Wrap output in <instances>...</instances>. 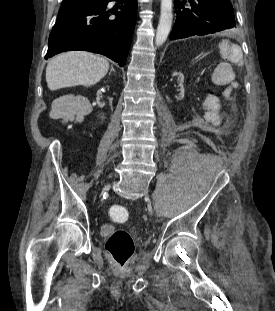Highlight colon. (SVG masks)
I'll use <instances>...</instances> for the list:
<instances>
[{
  "label": "colon",
  "instance_id": "obj_1",
  "mask_svg": "<svg viewBox=\"0 0 275 311\" xmlns=\"http://www.w3.org/2000/svg\"><path fill=\"white\" fill-rule=\"evenodd\" d=\"M229 93L230 89L227 90L226 95L228 96ZM52 116L58 119H64L68 117V114L59 107H55L52 110ZM109 214L116 220H126L129 217L127 210L120 206L111 207ZM105 247L107 252L114 259L116 265L118 267H123L134 252V241L128 231L124 229H115L107 238Z\"/></svg>",
  "mask_w": 275,
  "mask_h": 311
}]
</instances>
